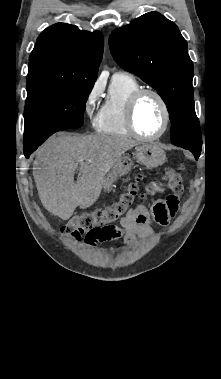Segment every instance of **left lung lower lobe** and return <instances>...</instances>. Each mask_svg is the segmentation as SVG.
<instances>
[{
  "label": "left lung lower lobe",
  "instance_id": "left-lung-lower-lobe-1",
  "mask_svg": "<svg viewBox=\"0 0 221 379\" xmlns=\"http://www.w3.org/2000/svg\"><path fill=\"white\" fill-rule=\"evenodd\" d=\"M179 147H180V146H179ZM191 152L194 154V156H195L196 160H198V158H199L200 154H199V153H196V152H193V151H191Z\"/></svg>",
  "mask_w": 221,
  "mask_h": 379
}]
</instances>
